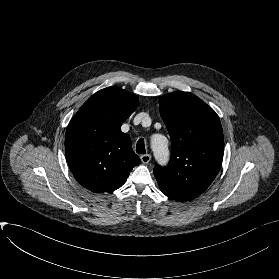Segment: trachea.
<instances>
[{
  "label": "trachea",
  "instance_id": "3493384b",
  "mask_svg": "<svg viewBox=\"0 0 279 279\" xmlns=\"http://www.w3.org/2000/svg\"><path fill=\"white\" fill-rule=\"evenodd\" d=\"M136 152L139 154H146L144 139L140 138L136 145Z\"/></svg>",
  "mask_w": 279,
  "mask_h": 279
}]
</instances>
